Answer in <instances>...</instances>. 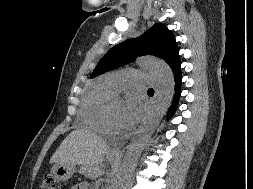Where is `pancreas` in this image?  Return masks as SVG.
<instances>
[{
	"mask_svg": "<svg viewBox=\"0 0 253 189\" xmlns=\"http://www.w3.org/2000/svg\"><path fill=\"white\" fill-rule=\"evenodd\" d=\"M80 172L89 178H96V176L98 174V170L96 168H92L90 166L82 167Z\"/></svg>",
	"mask_w": 253,
	"mask_h": 189,
	"instance_id": "pancreas-1",
	"label": "pancreas"
}]
</instances>
